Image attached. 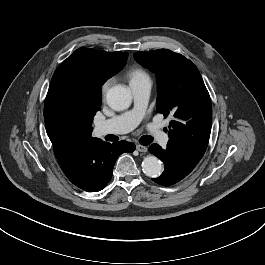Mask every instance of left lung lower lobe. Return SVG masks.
<instances>
[{
	"mask_svg": "<svg viewBox=\"0 0 265 265\" xmlns=\"http://www.w3.org/2000/svg\"><path fill=\"white\" fill-rule=\"evenodd\" d=\"M149 151L164 162V172L159 177L153 178V181L157 184L170 186L190 173V171L184 169L182 165L173 158L167 149L164 150L159 145L152 144L149 147Z\"/></svg>",
	"mask_w": 265,
	"mask_h": 265,
	"instance_id": "left-lung-lower-lobe-1",
	"label": "left lung lower lobe"
}]
</instances>
